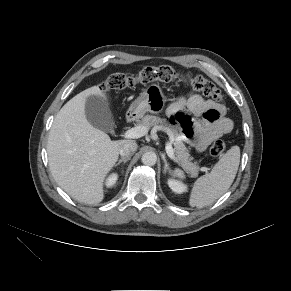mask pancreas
Segmentation results:
<instances>
[{
  "instance_id": "pancreas-1",
  "label": "pancreas",
  "mask_w": 291,
  "mask_h": 291,
  "mask_svg": "<svg viewBox=\"0 0 291 291\" xmlns=\"http://www.w3.org/2000/svg\"><path fill=\"white\" fill-rule=\"evenodd\" d=\"M141 125L147 129L155 128L166 132L171 138H173L175 161L192 177L198 175L199 167L196 162H192L189 150L185 146L181 135L175 126L169 124L166 119L158 116L146 115L141 122Z\"/></svg>"
}]
</instances>
